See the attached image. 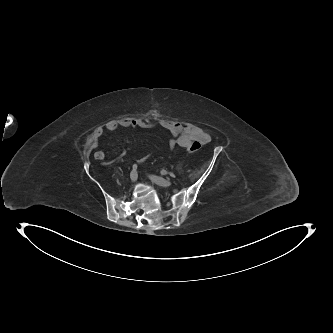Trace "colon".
Returning a JSON list of instances; mask_svg holds the SVG:
<instances>
[{"label": "colon", "instance_id": "5ec220e1", "mask_svg": "<svg viewBox=\"0 0 333 333\" xmlns=\"http://www.w3.org/2000/svg\"><path fill=\"white\" fill-rule=\"evenodd\" d=\"M201 146H202V144L200 142L195 141L191 144L189 151L197 152L198 150H200Z\"/></svg>", "mask_w": 333, "mask_h": 333}]
</instances>
